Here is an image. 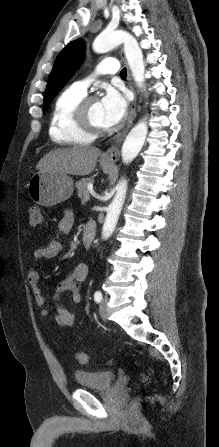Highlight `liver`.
<instances>
[{"label": "liver", "instance_id": "6515ba94", "mask_svg": "<svg viewBox=\"0 0 219 447\" xmlns=\"http://www.w3.org/2000/svg\"><path fill=\"white\" fill-rule=\"evenodd\" d=\"M101 151L96 147L73 146L54 149L38 162L36 168L63 174L85 176L95 169Z\"/></svg>", "mask_w": 219, "mask_h": 447}]
</instances>
